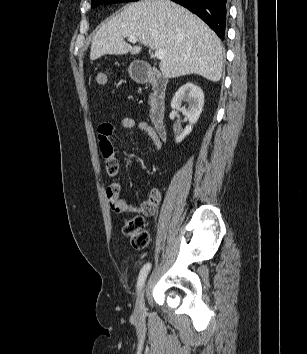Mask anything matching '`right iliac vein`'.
Instances as JSON below:
<instances>
[{
  "label": "right iliac vein",
  "instance_id": "1",
  "mask_svg": "<svg viewBox=\"0 0 307 354\" xmlns=\"http://www.w3.org/2000/svg\"><path fill=\"white\" fill-rule=\"evenodd\" d=\"M144 292H145V290L141 291V293L138 296L137 302H136L135 315L139 321H142L145 317Z\"/></svg>",
  "mask_w": 307,
  "mask_h": 354
}]
</instances>
